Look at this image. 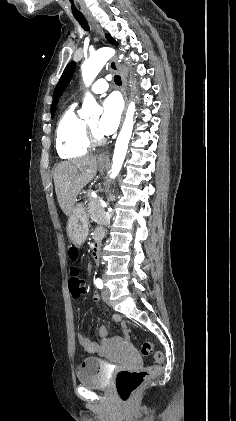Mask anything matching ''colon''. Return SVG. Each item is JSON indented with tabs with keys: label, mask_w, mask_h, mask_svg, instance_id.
<instances>
[{
	"label": "colon",
	"mask_w": 236,
	"mask_h": 421,
	"mask_svg": "<svg viewBox=\"0 0 236 421\" xmlns=\"http://www.w3.org/2000/svg\"><path fill=\"white\" fill-rule=\"evenodd\" d=\"M71 259L78 256L77 249L71 248L69 252ZM69 291L73 298H79L84 292V281L79 277L78 271L74 269L68 282ZM154 345L152 342H144L141 346L143 355L148 356L153 353ZM157 364L144 367L137 370L122 369L115 376V387L122 401H128L133 393L143 384V382L162 370L163 356L161 353L155 354Z\"/></svg>",
	"instance_id": "1"
}]
</instances>
